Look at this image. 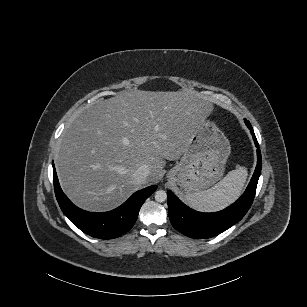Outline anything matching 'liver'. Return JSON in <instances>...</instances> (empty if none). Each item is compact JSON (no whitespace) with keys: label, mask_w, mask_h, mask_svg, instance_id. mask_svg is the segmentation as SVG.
<instances>
[{"label":"liver","mask_w":307,"mask_h":307,"mask_svg":"<svg viewBox=\"0 0 307 307\" xmlns=\"http://www.w3.org/2000/svg\"><path fill=\"white\" fill-rule=\"evenodd\" d=\"M213 104L188 91L122 92L79 114L55 156L60 184L74 204L101 212L123 203L138 185L133 173L149 166L158 179L167 160L186 152Z\"/></svg>","instance_id":"obj_1"}]
</instances>
